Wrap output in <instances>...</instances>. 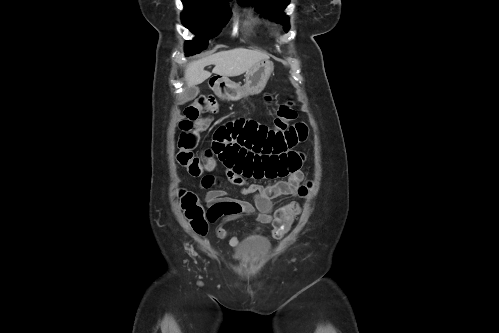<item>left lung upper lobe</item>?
Segmentation results:
<instances>
[{
  "mask_svg": "<svg viewBox=\"0 0 499 333\" xmlns=\"http://www.w3.org/2000/svg\"><path fill=\"white\" fill-rule=\"evenodd\" d=\"M240 2L254 6L265 17L282 24L286 32L289 30V18L283 11L290 0H240Z\"/></svg>",
  "mask_w": 499,
  "mask_h": 333,
  "instance_id": "1",
  "label": "left lung upper lobe"
}]
</instances>
